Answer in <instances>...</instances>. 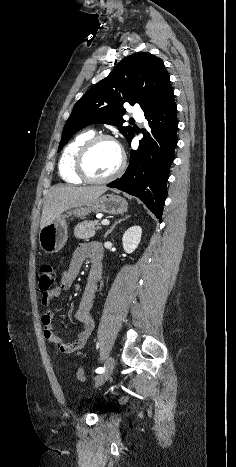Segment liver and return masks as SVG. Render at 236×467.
Wrapping results in <instances>:
<instances>
[{"instance_id": "obj_1", "label": "liver", "mask_w": 236, "mask_h": 467, "mask_svg": "<svg viewBox=\"0 0 236 467\" xmlns=\"http://www.w3.org/2000/svg\"><path fill=\"white\" fill-rule=\"evenodd\" d=\"M107 191L105 186H54L43 204L40 228H44L64 211L94 202Z\"/></svg>"}]
</instances>
